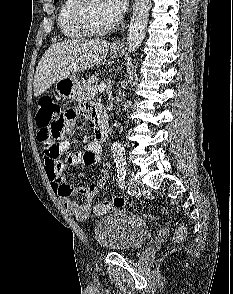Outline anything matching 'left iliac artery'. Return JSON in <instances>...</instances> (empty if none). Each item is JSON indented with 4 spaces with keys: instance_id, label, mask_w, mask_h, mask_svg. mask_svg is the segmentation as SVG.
<instances>
[{
    "instance_id": "obj_1",
    "label": "left iliac artery",
    "mask_w": 233,
    "mask_h": 294,
    "mask_svg": "<svg viewBox=\"0 0 233 294\" xmlns=\"http://www.w3.org/2000/svg\"><path fill=\"white\" fill-rule=\"evenodd\" d=\"M117 177H118V185L121 189H125V177H126V163H117ZM132 191V190H131Z\"/></svg>"
}]
</instances>
